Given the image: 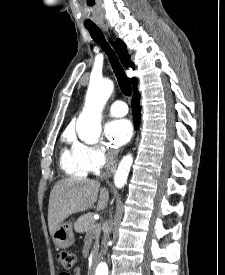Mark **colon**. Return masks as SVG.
I'll list each match as a JSON object with an SVG mask.
<instances>
[{
    "label": "colon",
    "mask_w": 225,
    "mask_h": 275,
    "mask_svg": "<svg viewBox=\"0 0 225 275\" xmlns=\"http://www.w3.org/2000/svg\"><path fill=\"white\" fill-rule=\"evenodd\" d=\"M75 255L68 251H60L56 255V262L63 268L71 269L75 263ZM59 275H68V273L62 272Z\"/></svg>",
    "instance_id": "colon-1"
}]
</instances>
